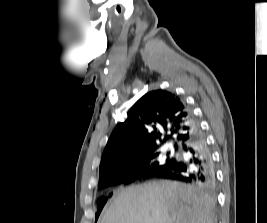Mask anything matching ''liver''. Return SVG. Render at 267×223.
Returning a JSON list of instances; mask_svg holds the SVG:
<instances>
[{
    "instance_id": "obj_1",
    "label": "liver",
    "mask_w": 267,
    "mask_h": 223,
    "mask_svg": "<svg viewBox=\"0 0 267 223\" xmlns=\"http://www.w3.org/2000/svg\"><path fill=\"white\" fill-rule=\"evenodd\" d=\"M214 200L172 181L132 185L120 192L101 223H214Z\"/></svg>"
}]
</instances>
